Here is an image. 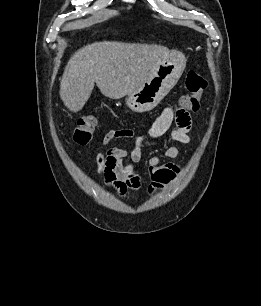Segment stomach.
I'll return each mask as SVG.
<instances>
[{
  "label": "stomach",
  "mask_w": 261,
  "mask_h": 306,
  "mask_svg": "<svg viewBox=\"0 0 261 306\" xmlns=\"http://www.w3.org/2000/svg\"><path fill=\"white\" fill-rule=\"evenodd\" d=\"M185 67V56L179 51H170L155 63L144 81L127 94V107L137 113L152 110L176 85Z\"/></svg>",
  "instance_id": "0dacf381"
}]
</instances>
